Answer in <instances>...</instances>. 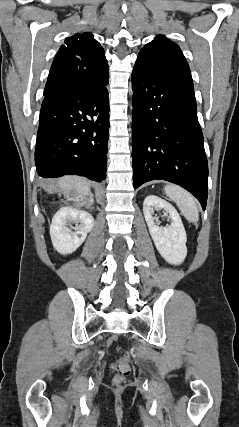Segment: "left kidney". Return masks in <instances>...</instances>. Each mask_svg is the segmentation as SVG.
Wrapping results in <instances>:
<instances>
[{"label": "left kidney", "mask_w": 239, "mask_h": 427, "mask_svg": "<svg viewBox=\"0 0 239 427\" xmlns=\"http://www.w3.org/2000/svg\"><path fill=\"white\" fill-rule=\"evenodd\" d=\"M162 209L169 214L172 220L169 226L159 227L154 220V211ZM143 213L160 255L170 264H181L187 255V236L177 210L165 200L150 195L144 200Z\"/></svg>", "instance_id": "1"}]
</instances>
